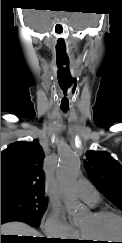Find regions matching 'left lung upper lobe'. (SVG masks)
I'll return each instance as SVG.
<instances>
[{"mask_svg": "<svg viewBox=\"0 0 122 243\" xmlns=\"http://www.w3.org/2000/svg\"><path fill=\"white\" fill-rule=\"evenodd\" d=\"M84 166L97 189L122 210V166L105 151L86 153Z\"/></svg>", "mask_w": 122, "mask_h": 243, "instance_id": "obj_1", "label": "left lung upper lobe"}]
</instances>
